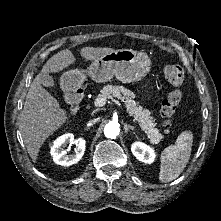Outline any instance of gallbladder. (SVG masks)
Returning a JSON list of instances; mask_svg holds the SVG:
<instances>
[{"mask_svg":"<svg viewBox=\"0 0 221 221\" xmlns=\"http://www.w3.org/2000/svg\"><path fill=\"white\" fill-rule=\"evenodd\" d=\"M40 81L43 86L50 88L54 87L53 79L49 74H43Z\"/></svg>","mask_w":221,"mask_h":221,"instance_id":"obj_1","label":"gallbladder"}]
</instances>
